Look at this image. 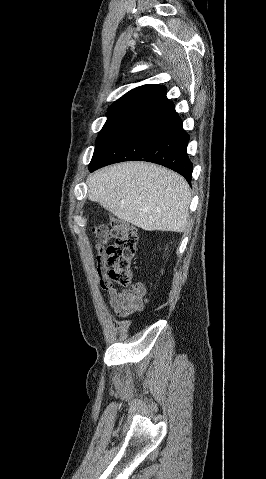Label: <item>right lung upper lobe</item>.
Segmentation results:
<instances>
[{
	"label": "right lung upper lobe",
	"mask_w": 266,
	"mask_h": 479,
	"mask_svg": "<svg viewBox=\"0 0 266 479\" xmlns=\"http://www.w3.org/2000/svg\"><path fill=\"white\" fill-rule=\"evenodd\" d=\"M167 89L161 85H143L134 88L114 102L108 113L134 112L138 113L151 105L153 102L166 95Z\"/></svg>",
	"instance_id": "obj_1"
}]
</instances>
